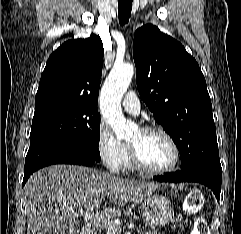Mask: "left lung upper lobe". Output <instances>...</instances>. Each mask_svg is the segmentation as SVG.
<instances>
[{
	"label": "left lung upper lobe",
	"instance_id": "5c2ea615",
	"mask_svg": "<svg viewBox=\"0 0 241 234\" xmlns=\"http://www.w3.org/2000/svg\"><path fill=\"white\" fill-rule=\"evenodd\" d=\"M133 58L140 97L175 142L181 170L220 169L212 104L196 60L152 24L135 31Z\"/></svg>",
	"mask_w": 241,
	"mask_h": 234
}]
</instances>
